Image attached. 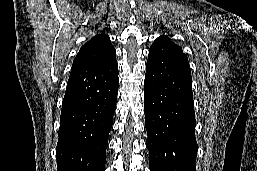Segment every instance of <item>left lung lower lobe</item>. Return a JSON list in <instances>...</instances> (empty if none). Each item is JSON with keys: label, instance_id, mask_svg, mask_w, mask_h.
I'll return each instance as SVG.
<instances>
[{"label": "left lung lower lobe", "instance_id": "left-lung-lower-lobe-1", "mask_svg": "<svg viewBox=\"0 0 257 171\" xmlns=\"http://www.w3.org/2000/svg\"><path fill=\"white\" fill-rule=\"evenodd\" d=\"M144 110L150 171H196L192 77L180 47L150 48Z\"/></svg>", "mask_w": 257, "mask_h": 171}]
</instances>
